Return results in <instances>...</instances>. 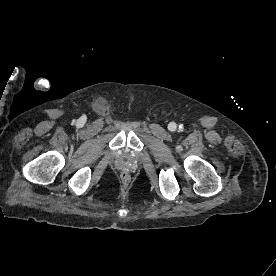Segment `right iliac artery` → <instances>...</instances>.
Instances as JSON below:
<instances>
[{
	"mask_svg": "<svg viewBox=\"0 0 276 276\" xmlns=\"http://www.w3.org/2000/svg\"><path fill=\"white\" fill-rule=\"evenodd\" d=\"M74 123H75V120L72 121V124H74Z\"/></svg>",
	"mask_w": 276,
	"mask_h": 276,
	"instance_id": "1",
	"label": "right iliac artery"
}]
</instances>
